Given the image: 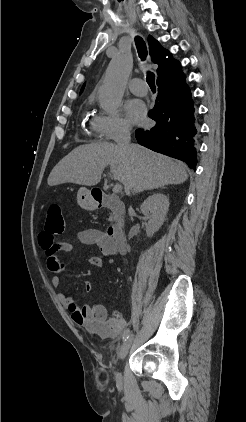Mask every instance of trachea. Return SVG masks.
<instances>
[{"mask_svg":"<svg viewBox=\"0 0 246 422\" xmlns=\"http://www.w3.org/2000/svg\"><path fill=\"white\" fill-rule=\"evenodd\" d=\"M135 43H136V47H137L139 57L141 58L142 61H144L147 57L146 44H145L144 40L139 36L135 37ZM147 83H148V85L151 89H153V90L156 89L155 75L152 72L147 73Z\"/></svg>","mask_w":246,"mask_h":422,"instance_id":"obj_1","label":"trachea"}]
</instances>
